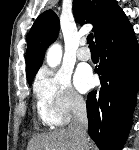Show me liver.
Masks as SVG:
<instances>
[{
	"label": "liver",
	"mask_w": 139,
	"mask_h": 150,
	"mask_svg": "<svg viewBox=\"0 0 139 150\" xmlns=\"http://www.w3.org/2000/svg\"><path fill=\"white\" fill-rule=\"evenodd\" d=\"M76 142L69 129H59L34 136L27 150H76Z\"/></svg>",
	"instance_id": "6515ba94"
}]
</instances>
